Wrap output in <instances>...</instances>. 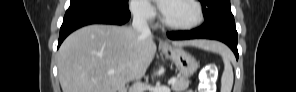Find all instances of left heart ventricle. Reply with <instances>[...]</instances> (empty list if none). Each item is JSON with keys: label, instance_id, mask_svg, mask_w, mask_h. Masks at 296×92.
I'll return each mask as SVG.
<instances>
[{"label": "left heart ventricle", "instance_id": "left-heart-ventricle-1", "mask_svg": "<svg viewBox=\"0 0 296 92\" xmlns=\"http://www.w3.org/2000/svg\"><path fill=\"white\" fill-rule=\"evenodd\" d=\"M165 18L173 24H189L196 20L195 7L188 1H170L164 13Z\"/></svg>", "mask_w": 296, "mask_h": 92}]
</instances>
